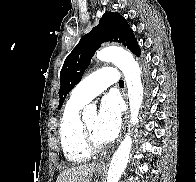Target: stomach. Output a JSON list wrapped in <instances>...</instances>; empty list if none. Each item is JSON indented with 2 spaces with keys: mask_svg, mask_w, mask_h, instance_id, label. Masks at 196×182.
<instances>
[{
  "mask_svg": "<svg viewBox=\"0 0 196 182\" xmlns=\"http://www.w3.org/2000/svg\"><path fill=\"white\" fill-rule=\"evenodd\" d=\"M95 170H96V173H97V174H102L103 171H104L102 168H100V167H98V166L96 167Z\"/></svg>",
  "mask_w": 196,
  "mask_h": 182,
  "instance_id": "stomach-1",
  "label": "stomach"
}]
</instances>
